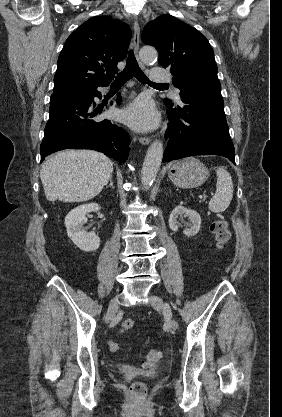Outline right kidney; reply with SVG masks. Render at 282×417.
Instances as JSON below:
<instances>
[{
    "label": "right kidney",
    "instance_id": "1",
    "mask_svg": "<svg viewBox=\"0 0 282 417\" xmlns=\"http://www.w3.org/2000/svg\"><path fill=\"white\" fill-rule=\"evenodd\" d=\"M100 206L97 202H89V204H79L76 209H72L65 217V227L74 245H77L81 251H96L99 249L100 239L94 231L86 233L83 229L84 223H87V213L91 211H99Z\"/></svg>",
    "mask_w": 282,
    "mask_h": 417
}]
</instances>
